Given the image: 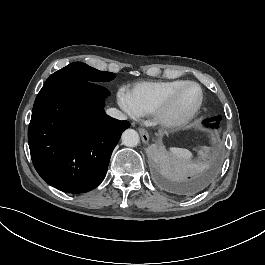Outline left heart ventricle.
<instances>
[{
  "label": "left heart ventricle",
  "instance_id": "left-heart-ventricle-1",
  "mask_svg": "<svg viewBox=\"0 0 265 265\" xmlns=\"http://www.w3.org/2000/svg\"><path fill=\"white\" fill-rule=\"evenodd\" d=\"M200 91L196 85L187 86L182 92L175 108V113H182L191 109L199 99Z\"/></svg>",
  "mask_w": 265,
  "mask_h": 265
}]
</instances>
